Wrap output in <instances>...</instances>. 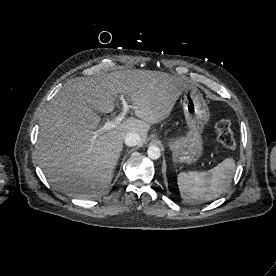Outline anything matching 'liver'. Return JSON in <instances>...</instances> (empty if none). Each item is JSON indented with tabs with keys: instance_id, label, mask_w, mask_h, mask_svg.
Masks as SVG:
<instances>
[{
	"instance_id": "liver-1",
	"label": "liver",
	"mask_w": 276,
	"mask_h": 276,
	"mask_svg": "<svg viewBox=\"0 0 276 276\" xmlns=\"http://www.w3.org/2000/svg\"><path fill=\"white\" fill-rule=\"evenodd\" d=\"M190 85L159 71L126 70L79 78L64 86L40 120L37 155L45 176L68 196L91 199L109 187L128 133L146 138L151 124L166 119ZM135 106L139 118L93 138L101 118L114 110L118 95Z\"/></svg>"
}]
</instances>
